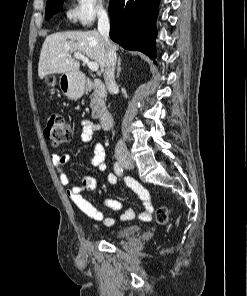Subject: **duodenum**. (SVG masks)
Here are the masks:
<instances>
[{
    "instance_id": "410a0bca",
    "label": "duodenum",
    "mask_w": 247,
    "mask_h": 296,
    "mask_svg": "<svg viewBox=\"0 0 247 296\" xmlns=\"http://www.w3.org/2000/svg\"><path fill=\"white\" fill-rule=\"evenodd\" d=\"M88 89L96 100H101L107 93L106 86L101 80L88 81ZM98 117L103 129H108L111 126L113 116L108 110H100Z\"/></svg>"
}]
</instances>
